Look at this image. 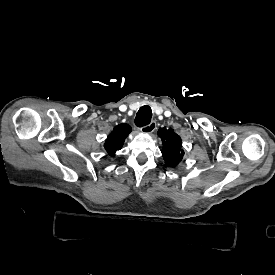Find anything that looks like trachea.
I'll return each mask as SVG.
<instances>
[{
  "mask_svg": "<svg viewBox=\"0 0 275 275\" xmlns=\"http://www.w3.org/2000/svg\"><path fill=\"white\" fill-rule=\"evenodd\" d=\"M151 119H152V110L150 106L145 105V106H142L137 112V115L135 118V124L138 127H144L151 122Z\"/></svg>",
  "mask_w": 275,
  "mask_h": 275,
  "instance_id": "3493384b",
  "label": "trachea"
}]
</instances>
